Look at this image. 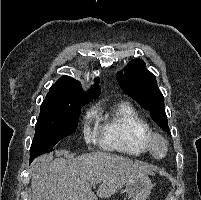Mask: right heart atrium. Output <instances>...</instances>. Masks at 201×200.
Returning a JSON list of instances; mask_svg holds the SVG:
<instances>
[{
    "instance_id": "d8ad5b80",
    "label": "right heart atrium",
    "mask_w": 201,
    "mask_h": 200,
    "mask_svg": "<svg viewBox=\"0 0 201 200\" xmlns=\"http://www.w3.org/2000/svg\"><path fill=\"white\" fill-rule=\"evenodd\" d=\"M84 133L87 140H90L92 138V132L89 127H85Z\"/></svg>"
}]
</instances>
